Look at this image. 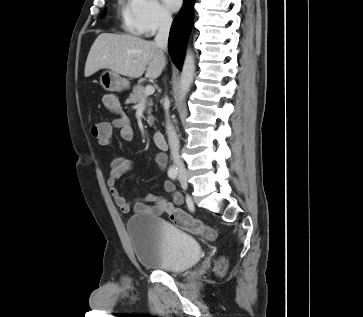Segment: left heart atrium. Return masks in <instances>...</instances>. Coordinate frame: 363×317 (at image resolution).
<instances>
[{"mask_svg":"<svg viewBox=\"0 0 363 317\" xmlns=\"http://www.w3.org/2000/svg\"><path fill=\"white\" fill-rule=\"evenodd\" d=\"M163 3L167 10L174 12L180 8L182 0H163Z\"/></svg>","mask_w":363,"mask_h":317,"instance_id":"left-heart-atrium-1","label":"left heart atrium"}]
</instances>
